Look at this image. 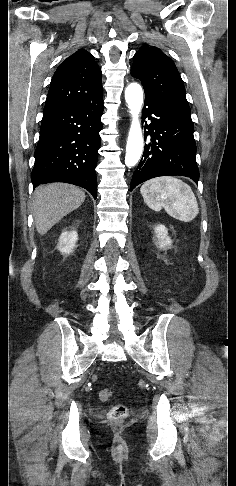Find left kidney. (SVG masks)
I'll return each instance as SVG.
<instances>
[{
    "instance_id": "obj_1",
    "label": "left kidney",
    "mask_w": 236,
    "mask_h": 486,
    "mask_svg": "<svg viewBox=\"0 0 236 486\" xmlns=\"http://www.w3.org/2000/svg\"><path fill=\"white\" fill-rule=\"evenodd\" d=\"M155 233L158 239V247L160 249H166L169 248V246H171L172 240L168 236V230L164 225L162 224L157 225L155 227Z\"/></svg>"
}]
</instances>
